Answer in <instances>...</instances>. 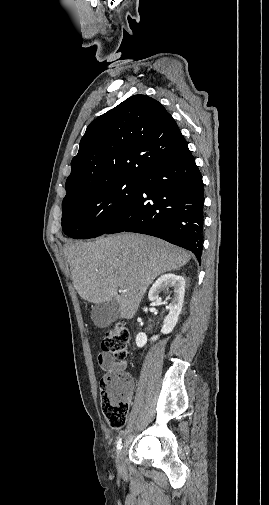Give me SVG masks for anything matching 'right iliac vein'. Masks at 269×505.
I'll return each instance as SVG.
<instances>
[{"mask_svg": "<svg viewBox=\"0 0 269 505\" xmlns=\"http://www.w3.org/2000/svg\"><path fill=\"white\" fill-rule=\"evenodd\" d=\"M123 456H124V449H120L117 453L116 456V466L119 470V472L123 473L125 470L124 463H123Z\"/></svg>", "mask_w": 269, "mask_h": 505, "instance_id": "right-iliac-vein-1", "label": "right iliac vein"}]
</instances>
